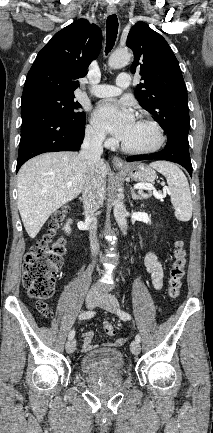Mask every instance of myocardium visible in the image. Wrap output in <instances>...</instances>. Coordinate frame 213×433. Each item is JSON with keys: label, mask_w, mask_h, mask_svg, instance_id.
<instances>
[{"label": "myocardium", "mask_w": 213, "mask_h": 433, "mask_svg": "<svg viewBox=\"0 0 213 433\" xmlns=\"http://www.w3.org/2000/svg\"><path fill=\"white\" fill-rule=\"evenodd\" d=\"M138 120L147 124L154 130L156 134L155 143L147 148L134 149L126 146L123 142H121V149L126 153L134 154V155H144V154H150L158 151L163 146L166 140L163 128L160 126V124L157 121H155L154 119L146 115L140 116Z\"/></svg>", "instance_id": "1"}]
</instances>
